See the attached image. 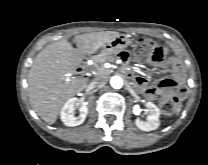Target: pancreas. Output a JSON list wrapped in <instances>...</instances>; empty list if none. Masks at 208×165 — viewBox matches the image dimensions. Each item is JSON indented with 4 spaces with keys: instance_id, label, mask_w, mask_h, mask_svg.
I'll list each match as a JSON object with an SVG mask.
<instances>
[{
    "instance_id": "cf45deb5",
    "label": "pancreas",
    "mask_w": 208,
    "mask_h": 165,
    "mask_svg": "<svg viewBox=\"0 0 208 165\" xmlns=\"http://www.w3.org/2000/svg\"><path fill=\"white\" fill-rule=\"evenodd\" d=\"M94 67L96 68L97 72L100 74V73H108L109 70L105 69L103 67V64L106 62V61H114L115 60V57L112 56L110 53H107V52H103V53H100L98 55H96L94 58Z\"/></svg>"
}]
</instances>
